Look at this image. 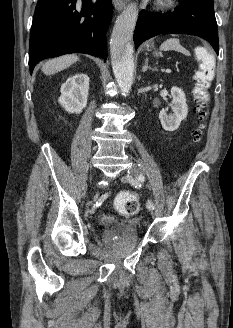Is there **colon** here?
<instances>
[{
    "label": "colon",
    "instance_id": "obj_1",
    "mask_svg": "<svg viewBox=\"0 0 233 328\" xmlns=\"http://www.w3.org/2000/svg\"><path fill=\"white\" fill-rule=\"evenodd\" d=\"M197 57L200 61L199 69L195 74V85L193 89L194 110L199 114L201 124L194 132L196 139H199L204 130V119L207 115L209 101L208 89L215 74V59L213 54L207 49H199ZM140 202L138 197L131 192L120 193L115 200V209L122 215L132 216L139 211Z\"/></svg>",
    "mask_w": 233,
    "mask_h": 328
}]
</instances>
